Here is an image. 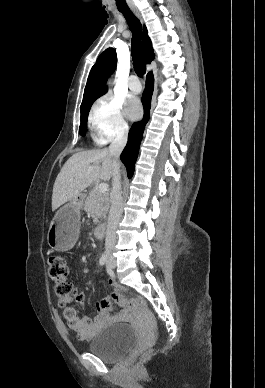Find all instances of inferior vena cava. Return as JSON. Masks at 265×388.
I'll return each instance as SVG.
<instances>
[{
	"label": "inferior vena cava",
	"mask_w": 265,
	"mask_h": 388,
	"mask_svg": "<svg viewBox=\"0 0 265 388\" xmlns=\"http://www.w3.org/2000/svg\"><path fill=\"white\" fill-rule=\"evenodd\" d=\"M128 130L114 138L109 146V154L113 158L112 162V190L110 196V212L107 222L105 252L107 258H111L112 250L115 246L116 230L123 212V200L121 196V176L119 166V156L127 144Z\"/></svg>",
	"instance_id": "obj_1"
}]
</instances>
